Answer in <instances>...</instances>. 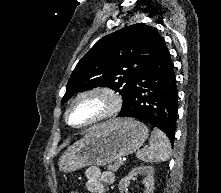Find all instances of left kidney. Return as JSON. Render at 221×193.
I'll use <instances>...</instances> for the list:
<instances>
[{
  "instance_id": "obj_1",
  "label": "left kidney",
  "mask_w": 221,
  "mask_h": 193,
  "mask_svg": "<svg viewBox=\"0 0 221 193\" xmlns=\"http://www.w3.org/2000/svg\"><path fill=\"white\" fill-rule=\"evenodd\" d=\"M137 174H142L145 176L143 183L145 186L144 193H153L154 189V169L151 166H138L133 168L129 174L121 179L119 182L120 193H123L124 190L128 187V184L131 179H133Z\"/></svg>"
}]
</instances>
